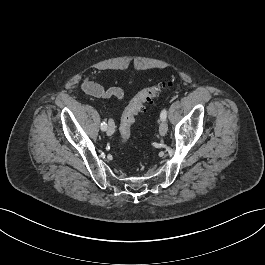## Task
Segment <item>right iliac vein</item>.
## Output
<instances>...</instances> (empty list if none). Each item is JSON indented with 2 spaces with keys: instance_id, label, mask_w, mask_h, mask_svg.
I'll return each mask as SVG.
<instances>
[{
  "instance_id": "obj_1",
  "label": "right iliac vein",
  "mask_w": 265,
  "mask_h": 265,
  "mask_svg": "<svg viewBox=\"0 0 265 265\" xmlns=\"http://www.w3.org/2000/svg\"><path fill=\"white\" fill-rule=\"evenodd\" d=\"M114 131H115L114 122L112 120H109L108 125H107V129H106L107 135L108 136L113 135Z\"/></svg>"
}]
</instances>
